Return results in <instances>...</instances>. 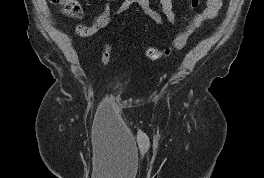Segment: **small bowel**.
Wrapping results in <instances>:
<instances>
[{"mask_svg":"<svg viewBox=\"0 0 264 178\" xmlns=\"http://www.w3.org/2000/svg\"><path fill=\"white\" fill-rule=\"evenodd\" d=\"M159 1L161 13L152 8L150 0H121L115 9H111L109 3H106L94 22L90 25L78 24L75 29L76 33L82 37L92 36L106 28L115 16L124 13L132 6H138L157 25H163L164 22L174 25L176 23V16L172 0ZM205 5V9L195 15L188 25L187 29L190 32H195L204 22L213 20L222 7V0H205Z\"/></svg>","mask_w":264,"mask_h":178,"instance_id":"c3829d8e","label":"small bowel"}]
</instances>
